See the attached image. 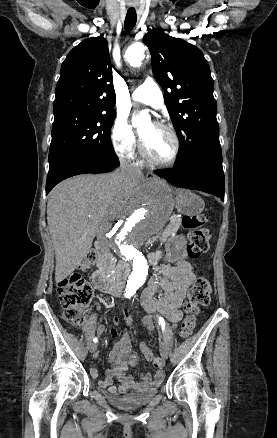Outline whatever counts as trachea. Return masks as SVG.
Returning a JSON list of instances; mask_svg holds the SVG:
<instances>
[{"label": "trachea", "mask_w": 277, "mask_h": 438, "mask_svg": "<svg viewBox=\"0 0 277 438\" xmlns=\"http://www.w3.org/2000/svg\"><path fill=\"white\" fill-rule=\"evenodd\" d=\"M137 14L135 8L131 7L127 10L124 29L126 33H130L136 25Z\"/></svg>", "instance_id": "trachea-1"}]
</instances>
